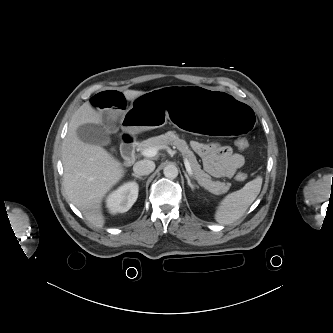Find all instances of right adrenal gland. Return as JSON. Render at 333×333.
Returning a JSON list of instances; mask_svg holds the SVG:
<instances>
[{
	"label": "right adrenal gland",
	"instance_id": "right-adrenal-gland-1",
	"mask_svg": "<svg viewBox=\"0 0 333 333\" xmlns=\"http://www.w3.org/2000/svg\"><path fill=\"white\" fill-rule=\"evenodd\" d=\"M132 176H134L135 178H138V179H140V180H144V178L143 177H141V176H139V175H137V174H132Z\"/></svg>",
	"mask_w": 333,
	"mask_h": 333
}]
</instances>
